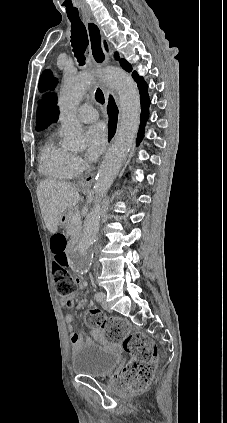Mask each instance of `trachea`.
Returning a JSON list of instances; mask_svg holds the SVG:
<instances>
[{
	"label": "trachea",
	"instance_id": "obj_1",
	"mask_svg": "<svg viewBox=\"0 0 227 423\" xmlns=\"http://www.w3.org/2000/svg\"><path fill=\"white\" fill-rule=\"evenodd\" d=\"M71 44L74 52V56L77 58V61L80 66L85 64V51L89 44V39L84 23L78 19H71ZM95 99L98 103L102 105L105 103V97L100 88H97L95 93Z\"/></svg>",
	"mask_w": 227,
	"mask_h": 423
}]
</instances>
